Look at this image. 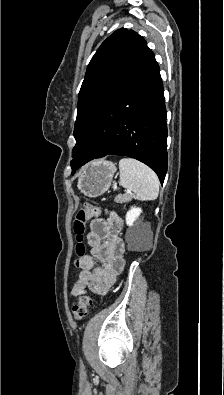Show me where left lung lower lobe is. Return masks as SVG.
Instances as JSON below:
<instances>
[{
  "label": "left lung lower lobe",
  "mask_w": 224,
  "mask_h": 395,
  "mask_svg": "<svg viewBox=\"0 0 224 395\" xmlns=\"http://www.w3.org/2000/svg\"><path fill=\"white\" fill-rule=\"evenodd\" d=\"M163 92L153 54L103 111L90 147L76 169L95 158L125 155L151 167L163 183L167 172Z\"/></svg>",
  "instance_id": "0a47b994"
}]
</instances>
